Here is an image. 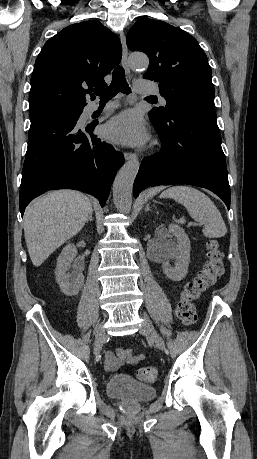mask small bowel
Masks as SVG:
<instances>
[{"instance_id": "c3829d8e", "label": "small bowel", "mask_w": 257, "mask_h": 459, "mask_svg": "<svg viewBox=\"0 0 257 459\" xmlns=\"http://www.w3.org/2000/svg\"><path fill=\"white\" fill-rule=\"evenodd\" d=\"M145 359V355L136 353L133 349H118L115 352L105 353L104 362L108 370L114 371L122 364H137Z\"/></svg>"}]
</instances>
